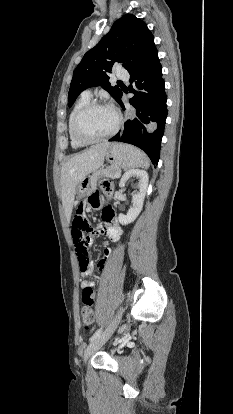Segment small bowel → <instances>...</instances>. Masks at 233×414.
<instances>
[{
  "mask_svg": "<svg viewBox=\"0 0 233 414\" xmlns=\"http://www.w3.org/2000/svg\"><path fill=\"white\" fill-rule=\"evenodd\" d=\"M100 195L99 194H94L89 201V207L88 209L91 208H96L99 207L100 205ZM102 219L104 221V225L100 228L97 229V233H104L105 235H107L112 241H118L120 239V236L122 234V230L120 228V226L117 223V220L115 218V214L112 208L107 207L104 209L103 214H102ZM73 232V230H72ZM110 256V250L105 249L104 250V257L103 259H101L97 265L98 270H102L105 267L106 264V260L108 259V257ZM82 277L84 278V280L81 283V287L82 289L86 288V287H92L94 286V274L92 271V264L90 265L89 269L86 271L80 270Z\"/></svg>",
  "mask_w": 233,
  "mask_h": 414,
  "instance_id": "1",
  "label": "small bowel"
}]
</instances>
